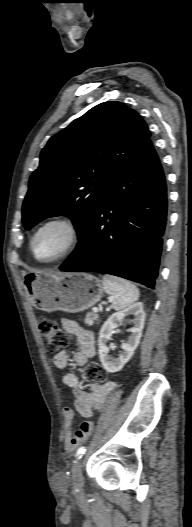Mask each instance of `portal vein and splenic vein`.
Instances as JSON below:
<instances>
[{"label": "portal vein and splenic vein", "mask_w": 192, "mask_h": 527, "mask_svg": "<svg viewBox=\"0 0 192 527\" xmlns=\"http://www.w3.org/2000/svg\"><path fill=\"white\" fill-rule=\"evenodd\" d=\"M93 312H98V308H93Z\"/></svg>", "instance_id": "18ae733b"}]
</instances>
